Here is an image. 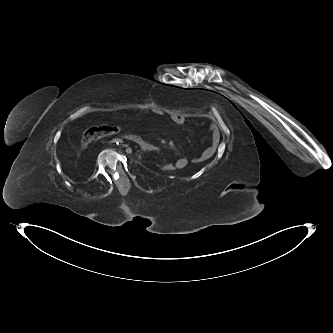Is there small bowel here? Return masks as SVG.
I'll list each match as a JSON object with an SVG mask.
<instances>
[{
  "mask_svg": "<svg viewBox=\"0 0 333 333\" xmlns=\"http://www.w3.org/2000/svg\"><path fill=\"white\" fill-rule=\"evenodd\" d=\"M171 120L178 125L183 124L186 121V117L182 114H173L171 116ZM211 129H212V142L211 145L203 152V154L195 159V162H202L205 160H208L211 158L219 145V133L217 131V128L214 124H211ZM188 164V159L185 157H182L178 159L175 163L172 165L176 166V169H182L185 168Z\"/></svg>",
  "mask_w": 333,
  "mask_h": 333,
  "instance_id": "obj_1",
  "label": "small bowel"
}]
</instances>
